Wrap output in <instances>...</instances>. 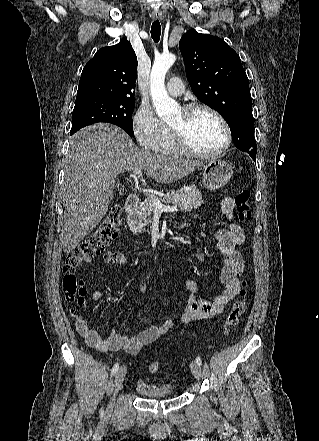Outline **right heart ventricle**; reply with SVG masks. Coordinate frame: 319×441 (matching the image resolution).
Returning a JSON list of instances; mask_svg holds the SVG:
<instances>
[{"label":"right heart ventricle","instance_id":"right-heart-ventricle-1","mask_svg":"<svg viewBox=\"0 0 319 441\" xmlns=\"http://www.w3.org/2000/svg\"><path fill=\"white\" fill-rule=\"evenodd\" d=\"M158 152L162 153V154H167V155H177L179 154V152L177 151V149L175 148L174 144H173V140L171 137V133L168 127L165 126V138L163 143L161 144L160 148L157 150Z\"/></svg>","mask_w":319,"mask_h":441}]
</instances>
